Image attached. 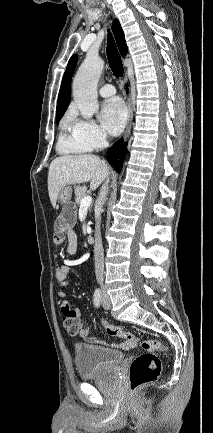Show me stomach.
I'll use <instances>...</instances> for the list:
<instances>
[{
	"label": "stomach",
	"instance_id": "1",
	"mask_svg": "<svg viewBox=\"0 0 213 433\" xmlns=\"http://www.w3.org/2000/svg\"><path fill=\"white\" fill-rule=\"evenodd\" d=\"M71 196H72V188L69 186H65L59 192L58 201L61 204L68 205L70 204Z\"/></svg>",
	"mask_w": 213,
	"mask_h": 433
}]
</instances>
